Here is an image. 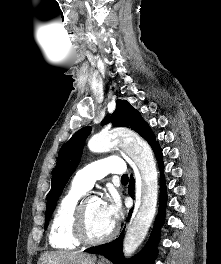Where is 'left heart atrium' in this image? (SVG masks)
<instances>
[{
    "instance_id": "obj_1",
    "label": "left heart atrium",
    "mask_w": 221,
    "mask_h": 264,
    "mask_svg": "<svg viewBox=\"0 0 221 264\" xmlns=\"http://www.w3.org/2000/svg\"><path fill=\"white\" fill-rule=\"evenodd\" d=\"M103 207L108 218L115 223L120 214V203L116 198L103 202Z\"/></svg>"
}]
</instances>
